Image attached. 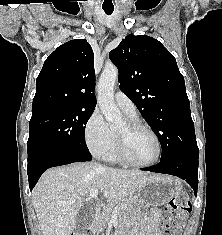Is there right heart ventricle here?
<instances>
[{
  "instance_id": "right-heart-ventricle-1",
  "label": "right heart ventricle",
  "mask_w": 222,
  "mask_h": 235,
  "mask_svg": "<svg viewBox=\"0 0 222 235\" xmlns=\"http://www.w3.org/2000/svg\"><path fill=\"white\" fill-rule=\"evenodd\" d=\"M129 116V115H128ZM131 119H136L135 116H129ZM106 159L109 161H119V158L117 156V151H116V136H115V142L112 146V148L104 155Z\"/></svg>"
}]
</instances>
